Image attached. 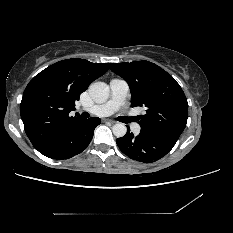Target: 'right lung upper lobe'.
Here are the masks:
<instances>
[{
    "mask_svg": "<svg viewBox=\"0 0 233 233\" xmlns=\"http://www.w3.org/2000/svg\"><path fill=\"white\" fill-rule=\"evenodd\" d=\"M109 69V63L84 59L59 61L37 74L27 85L20 104L25 132L33 146L44 143L81 117H72L75 101Z\"/></svg>",
    "mask_w": 233,
    "mask_h": 233,
    "instance_id": "obj_1",
    "label": "right lung upper lobe"
}]
</instances>
